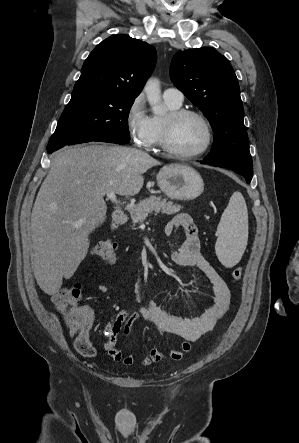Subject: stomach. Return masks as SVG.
I'll list each match as a JSON object with an SVG mask.
<instances>
[{
    "instance_id": "0dacf381",
    "label": "stomach",
    "mask_w": 299,
    "mask_h": 443,
    "mask_svg": "<svg viewBox=\"0 0 299 443\" xmlns=\"http://www.w3.org/2000/svg\"><path fill=\"white\" fill-rule=\"evenodd\" d=\"M157 185L169 198L183 201L197 198L204 190L200 174L184 164L164 166L157 174Z\"/></svg>"
}]
</instances>
